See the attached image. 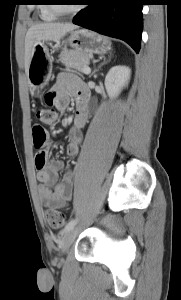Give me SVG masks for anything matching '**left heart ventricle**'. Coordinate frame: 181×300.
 <instances>
[{
    "instance_id": "b2bd125f",
    "label": "left heart ventricle",
    "mask_w": 181,
    "mask_h": 300,
    "mask_svg": "<svg viewBox=\"0 0 181 300\" xmlns=\"http://www.w3.org/2000/svg\"><path fill=\"white\" fill-rule=\"evenodd\" d=\"M60 5V7L62 8V9H64V10H70V9H72L73 8V5H69V4H59Z\"/></svg>"
}]
</instances>
